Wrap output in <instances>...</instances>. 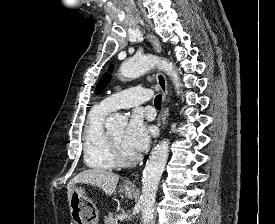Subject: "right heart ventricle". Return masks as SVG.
<instances>
[{
	"mask_svg": "<svg viewBox=\"0 0 275 224\" xmlns=\"http://www.w3.org/2000/svg\"><path fill=\"white\" fill-rule=\"evenodd\" d=\"M110 112L100 105L91 109L83 130V157L85 164L95 170H111L115 164L108 151L104 121Z\"/></svg>",
	"mask_w": 275,
	"mask_h": 224,
	"instance_id": "1",
	"label": "right heart ventricle"
}]
</instances>
